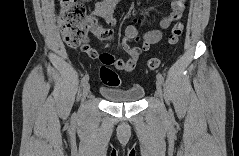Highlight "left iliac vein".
Here are the masks:
<instances>
[{
  "instance_id": "1",
  "label": "left iliac vein",
  "mask_w": 239,
  "mask_h": 156,
  "mask_svg": "<svg viewBox=\"0 0 239 156\" xmlns=\"http://www.w3.org/2000/svg\"><path fill=\"white\" fill-rule=\"evenodd\" d=\"M156 95L162 99L163 93H162V87H161V83L157 80L156 82Z\"/></svg>"
}]
</instances>
